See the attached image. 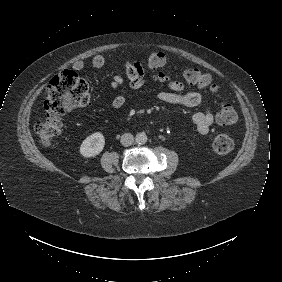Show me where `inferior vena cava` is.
I'll return each mask as SVG.
<instances>
[{"label": "inferior vena cava", "instance_id": "obj_1", "mask_svg": "<svg viewBox=\"0 0 282 282\" xmlns=\"http://www.w3.org/2000/svg\"><path fill=\"white\" fill-rule=\"evenodd\" d=\"M120 142L125 147L130 146L134 143V136L131 133H125L121 136Z\"/></svg>", "mask_w": 282, "mask_h": 282}]
</instances>
